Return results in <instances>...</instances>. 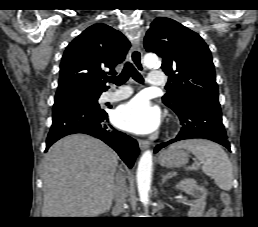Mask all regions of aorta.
<instances>
[{"label":"aorta","mask_w":258,"mask_h":227,"mask_svg":"<svg viewBox=\"0 0 258 227\" xmlns=\"http://www.w3.org/2000/svg\"><path fill=\"white\" fill-rule=\"evenodd\" d=\"M143 63L146 67L153 68L159 65V59L157 55L150 53L144 56ZM151 171L152 151L147 150L139 160L136 174L139 197L144 205L149 203Z\"/></svg>","instance_id":"obj_1"}]
</instances>
